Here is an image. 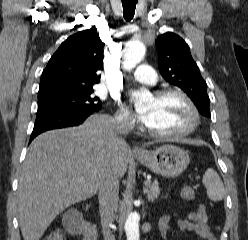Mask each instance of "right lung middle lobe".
Returning a JSON list of instances; mask_svg holds the SVG:
<instances>
[{
  "label": "right lung middle lobe",
  "instance_id": "obj_1",
  "mask_svg": "<svg viewBox=\"0 0 248 240\" xmlns=\"http://www.w3.org/2000/svg\"><path fill=\"white\" fill-rule=\"evenodd\" d=\"M93 89L38 97V108L62 107L74 110H99L101 101L91 94Z\"/></svg>",
  "mask_w": 248,
  "mask_h": 240
}]
</instances>
